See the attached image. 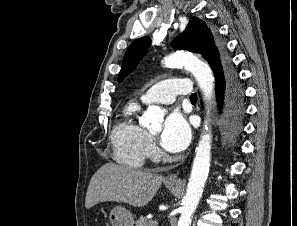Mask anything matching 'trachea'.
Segmentation results:
<instances>
[{
	"instance_id": "trachea-1",
	"label": "trachea",
	"mask_w": 297,
	"mask_h": 226,
	"mask_svg": "<svg viewBox=\"0 0 297 226\" xmlns=\"http://www.w3.org/2000/svg\"><path fill=\"white\" fill-rule=\"evenodd\" d=\"M190 101L191 102H196L197 101V95L195 93L191 95Z\"/></svg>"
}]
</instances>
